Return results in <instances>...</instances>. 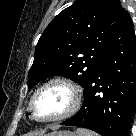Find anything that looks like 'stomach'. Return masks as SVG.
Returning a JSON list of instances; mask_svg holds the SVG:
<instances>
[{
  "label": "stomach",
  "instance_id": "0dacf381",
  "mask_svg": "<svg viewBox=\"0 0 136 136\" xmlns=\"http://www.w3.org/2000/svg\"><path fill=\"white\" fill-rule=\"evenodd\" d=\"M48 136H75V134L70 131H59L49 134Z\"/></svg>",
  "mask_w": 136,
  "mask_h": 136
}]
</instances>
